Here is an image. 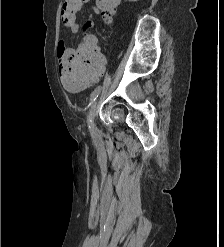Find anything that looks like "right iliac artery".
Instances as JSON below:
<instances>
[{"instance_id":"right-iliac-artery-1","label":"right iliac artery","mask_w":224,"mask_h":247,"mask_svg":"<svg viewBox=\"0 0 224 247\" xmlns=\"http://www.w3.org/2000/svg\"><path fill=\"white\" fill-rule=\"evenodd\" d=\"M100 90H101V86H98L97 88H95V90L91 93V96H90V101H89V104H88V108L93 104V102L96 100V98L98 97L99 93H100ZM87 123H88V128L90 130V132L93 133V130H94V125H93V122H92V119L90 117V114L87 116Z\"/></svg>"}]
</instances>
